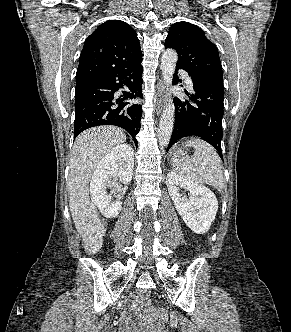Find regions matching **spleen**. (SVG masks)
I'll return each instance as SVG.
<instances>
[{
	"mask_svg": "<svg viewBox=\"0 0 291 332\" xmlns=\"http://www.w3.org/2000/svg\"><path fill=\"white\" fill-rule=\"evenodd\" d=\"M195 149L193 156L185 159H172L176 172L194 183H206L215 188H224L221 159L216 150L207 142L194 138L186 142Z\"/></svg>",
	"mask_w": 291,
	"mask_h": 332,
	"instance_id": "1",
	"label": "spleen"
}]
</instances>
